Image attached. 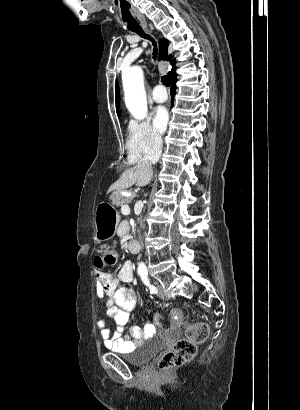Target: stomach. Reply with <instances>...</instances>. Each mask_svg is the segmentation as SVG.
<instances>
[{
    "mask_svg": "<svg viewBox=\"0 0 300 410\" xmlns=\"http://www.w3.org/2000/svg\"><path fill=\"white\" fill-rule=\"evenodd\" d=\"M119 195L118 190L111 195L112 204H100L95 214V236L98 241L111 239L115 233L120 221L118 211L115 209V203ZM105 204V205H103Z\"/></svg>",
    "mask_w": 300,
    "mask_h": 410,
    "instance_id": "1",
    "label": "stomach"
}]
</instances>
